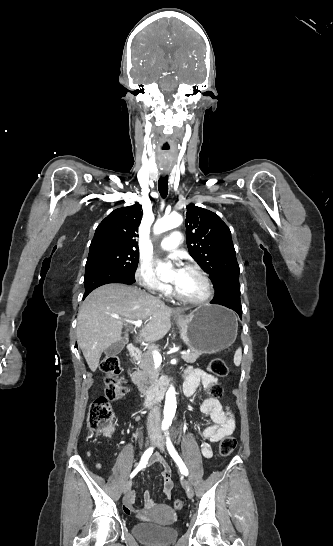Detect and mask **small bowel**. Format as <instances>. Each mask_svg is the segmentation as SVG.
<instances>
[{
    "instance_id": "c3829d8e",
    "label": "small bowel",
    "mask_w": 333,
    "mask_h": 546,
    "mask_svg": "<svg viewBox=\"0 0 333 546\" xmlns=\"http://www.w3.org/2000/svg\"><path fill=\"white\" fill-rule=\"evenodd\" d=\"M220 381L213 375L206 373L201 369L189 368L186 372L185 381L183 385L184 393L187 396H191L196 391L199 384L203 386H209L211 384H219ZM201 412L209 416L211 419V425L207 426L200 432L201 453L205 458H211L213 456L212 444L221 441L227 435L234 432L236 427L235 417L230 407H223L217 399H206L201 404ZM150 464H159L162 468L161 475L163 479V491L169 498L173 490V480L171 478V470L166 463L165 459L158 453H155L151 459ZM100 468V464H97ZM145 509L136 510L133 507L135 501V493L130 491L124 498L123 509L125 513H135L140 520H147L150 518L151 513L156 511H166L167 508L157 503L151 496L149 491L144 493Z\"/></svg>"
}]
</instances>
